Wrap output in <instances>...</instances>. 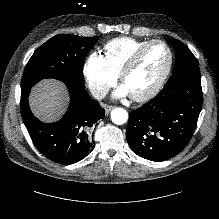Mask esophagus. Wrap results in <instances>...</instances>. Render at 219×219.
<instances>
[{"label":"esophagus","instance_id":"obj_1","mask_svg":"<svg viewBox=\"0 0 219 219\" xmlns=\"http://www.w3.org/2000/svg\"><path fill=\"white\" fill-rule=\"evenodd\" d=\"M114 108H115L114 106L106 105V106H105V114L108 115L109 112H110L111 110H113Z\"/></svg>","mask_w":219,"mask_h":219}]
</instances>
